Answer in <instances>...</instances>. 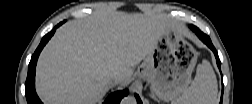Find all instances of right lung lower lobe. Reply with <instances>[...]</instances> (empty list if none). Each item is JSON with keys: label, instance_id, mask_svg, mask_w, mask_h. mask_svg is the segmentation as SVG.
<instances>
[{"label": "right lung lower lobe", "instance_id": "98d812e1", "mask_svg": "<svg viewBox=\"0 0 252 104\" xmlns=\"http://www.w3.org/2000/svg\"><path fill=\"white\" fill-rule=\"evenodd\" d=\"M62 23L63 22L59 23L52 31H50L48 34H46L42 38L38 48L36 49V51L31 57V61L28 67V75H27V79L25 83V94H26V99H27L28 104H42V102L38 98L35 91V69H36L37 59L43 47L46 45L49 39L53 36L56 28L59 27ZM126 95H128V90L114 92L107 97L104 104H108V103L118 104L121 101V99Z\"/></svg>", "mask_w": 252, "mask_h": 104}]
</instances>
